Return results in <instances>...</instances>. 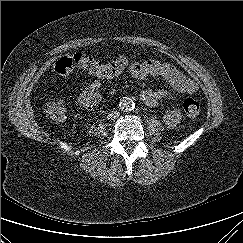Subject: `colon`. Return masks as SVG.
Returning <instances> with one entry per match:
<instances>
[{
    "instance_id": "colon-1",
    "label": "colon",
    "mask_w": 243,
    "mask_h": 243,
    "mask_svg": "<svg viewBox=\"0 0 243 243\" xmlns=\"http://www.w3.org/2000/svg\"><path fill=\"white\" fill-rule=\"evenodd\" d=\"M127 64L126 56H120L107 64H100L92 57L76 53L58 59L54 70L62 76H67L75 71H84L101 79H111L121 74ZM43 110L49 119L62 122L66 117L67 105L62 99L49 100L44 104ZM183 110L189 119L195 120L200 113V104L193 98H187L183 102Z\"/></svg>"
}]
</instances>
